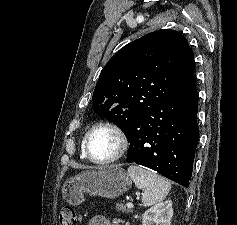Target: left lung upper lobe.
I'll list each match as a JSON object with an SVG mask.
<instances>
[{
	"label": "left lung upper lobe",
	"mask_w": 237,
	"mask_h": 225,
	"mask_svg": "<svg viewBox=\"0 0 237 225\" xmlns=\"http://www.w3.org/2000/svg\"><path fill=\"white\" fill-rule=\"evenodd\" d=\"M194 56L175 30L149 33L121 48L104 66L93 110L125 133L160 101L195 85Z\"/></svg>",
	"instance_id": "1"
}]
</instances>
